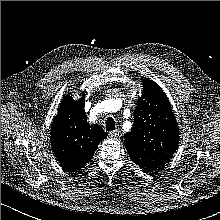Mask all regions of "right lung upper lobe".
Listing matches in <instances>:
<instances>
[{
  "instance_id": "cb5924a9",
  "label": "right lung upper lobe",
  "mask_w": 220,
  "mask_h": 220,
  "mask_svg": "<svg viewBox=\"0 0 220 220\" xmlns=\"http://www.w3.org/2000/svg\"><path fill=\"white\" fill-rule=\"evenodd\" d=\"M84 99V95L78 101L71 96L63 97L51 127L55 157L71 172L84 167L92 159L98 144L107 137L97 124L87 122Z\"/></svg>"
}]
</instances>
